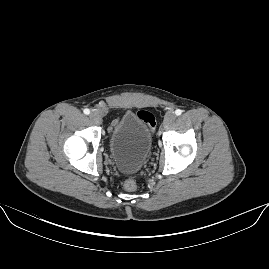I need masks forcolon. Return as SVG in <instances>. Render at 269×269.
Segmentation results:
<instances>
[{
  "label": "colon",
  "instance_id": "5ec220e1",
  "mask_svg": "<svg viewBox=\"0 0 269 269\" xmlns=\"http://www.w3.org/2000/svg\"><path fill=\"white\" fill-rule=\"evenodd\" d=\"M137 118L139 121L146 124L151 131H153L157 126L156 116L149 111L148 109H140L137 114ZM124 189L131 192L136 190L137 188V180L134 178H127L123 183Z\"/></svg>",
  "mask_w": 269,
  "mask_h": 269
}]
</instances>
